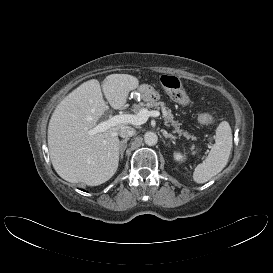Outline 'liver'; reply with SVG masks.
<instances>
[{
    "label": "liver",
    "instance_id": "6515ba94",
    "mask_svg": "<svg viewBox=\"0 0 273 273\" xmlns=\"http://www.w3.org/2000/svg\"><path fill=\"white\" fill-rule=\"evenodd\" d=\"M138 85L139 80L132 75L111 74L103 80L102 90L113 109H122L129 92ZM108 108L99 81L92 79L73 90L54 110L48 126V147L53 167L64 180L97 186L115 174L118 131L128 124L89 134Z\"/></svg>",
    "mask_w": 273,
    "mask_h": 273
}]
</instances>
